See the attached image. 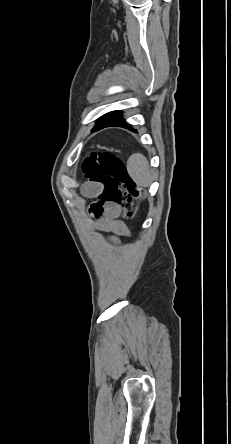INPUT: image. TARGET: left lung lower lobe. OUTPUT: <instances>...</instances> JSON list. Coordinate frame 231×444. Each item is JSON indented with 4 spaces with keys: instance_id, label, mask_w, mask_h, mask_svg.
Wrapping results in <instances>:
<instances>
[{
    "instance_id": "0a47b994",
    "label": "left lung lower lobe",
    "mask_w": 231,
    "mask_h": 444,
    "mask_svg": "<svg viewBox=\"0 0 231 444\" xmlns=\"http://www.w3.org/2000/svg\"><path fill=\"white\" fill-rule=\"evenodd\" d=\"M108 126H120L132 130V128L125 123V121L121 118L119 114L98 122L93 130H99Z\"/></svg>"
}]
</instances>
